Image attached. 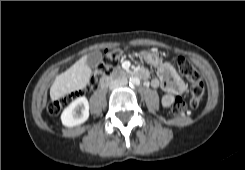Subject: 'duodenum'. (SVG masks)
Returning <instances> with one entry per match:
<instances>
[{"label": "duodenum", "instance_id": "duodenum-1", "mask_svg": "<svg viewBox=\"0 0 245 170\" xmlns=\"http://www.w3.org/2000/svg\"><path fill=\"white\" fill-rule=\"evenodd\" d=\"M116 76H117V77H123V74H118V75H116ZM138 76L141 77V78H146L147 73H146L145 70L140 69V70L138 71ZM109 82H110V78H105V79H103V80L100 82L99 88H100V89L106 88V87L108 86Z\"/></svg>", "mask_w": 245, "mask_h": 170}]
</instances>
